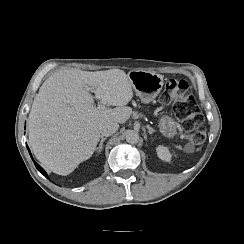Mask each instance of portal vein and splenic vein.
Here are the masks:
<instances>
[{
	"instance_id": "18ae733b",
	"label": "portal vein and splenic vein",
	"mask_w": 244,
	"mask_h": 244,
	"mask_svg": "<svg viewBox=\"0 0 244 244\" xmlns=\"http://www.w3.org/2000/svg\"><path fill=\"white\" fill-rule=\"evenodd\" d=\"M89 91L93 92L94 89L93 88H88ZM103 105H98V107H102Z\"/></svg>"
}]
</instances>
